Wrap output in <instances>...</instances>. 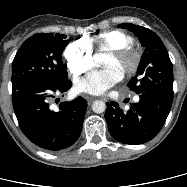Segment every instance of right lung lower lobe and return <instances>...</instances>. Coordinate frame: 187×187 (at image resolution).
Returning <instances> with one entry per match:
<instances>
[{"instance_id":"98d812e1","label":"right lung lower lobe","mask_w":187,"mask_h":187,"mask_svg":"<svg viewBox=\"0 0 187 187\" xmlns=\"http://www.w3.org/2000/svg\"><path fill=\"white\" fill-rule=\"evenodd\" d=\"M71 86L67 79L61 83H24L12 90L13 108L22 132L45 150L68 148L81 134L87 109V102L82 97L60 103L58 111L49 108V98L55 93L66 92Z\"/></svg>"}]
</instances>
